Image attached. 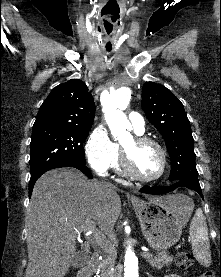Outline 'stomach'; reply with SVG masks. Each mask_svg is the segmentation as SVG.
<instances>
[{"instance_id": "0dacf381", "label": "stomach", "mask_w": 221, "mask_h": 277, "mask_svg": "<svg viewBox=\"0 0 221 277\" xmlns=\"http://www.w3.org/2000/svg\"><path fill=\"white\" fill-rule=\"evenodd\" d=\"M131 202L144 237L156 251L168 249L178 242L193 207L189 199L182 197L174 204L162 199H132Z\"/></svg>"}]
</instances>
